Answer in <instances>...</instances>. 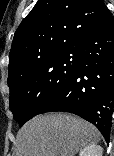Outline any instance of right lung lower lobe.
<instances>
[{
	"mask_svg": "<svg viewBox=\"0 0 114 156\" xmlns=\"http://www.w3.org/2000/svg\"><path fill=\"white\" fill-rule=\"evenodd\" d=\"M79 67L63 92L41 113H74L109 141L114 108V18L108 11L77 46ZM40 113V114H41Z\"/></svg>",
	"mask_w": 114,
	"mask_h": 156,
	"instance_id": "98d812e1",
	"label": "right lung lower lobe"
}]
</instances>
